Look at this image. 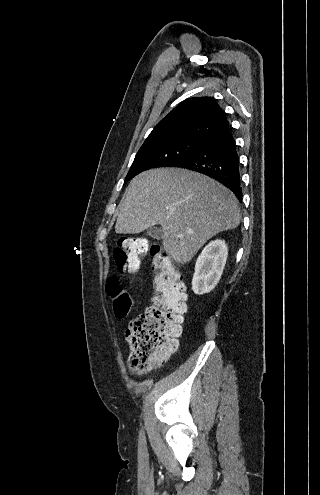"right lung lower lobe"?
Listing matches in <instances>:
<instances>
[{"label": "right lung lower lobe", "mask_w": 320, "mask_h": 495, "mask_svg": "<svg viewBox=\"0 0 320 495\" xmlns=\"http://www.w3.org/2000/svg\"><path fill=\"white\" fill-rule=\"evenodd\" d=\"M175 167L190 169L214 178L228 187L241 202L239 157L230 126L209 136L192 157Z\"/></svg>", "instance_id": "right-lung-lower-lobe-1"}]
</instances>
